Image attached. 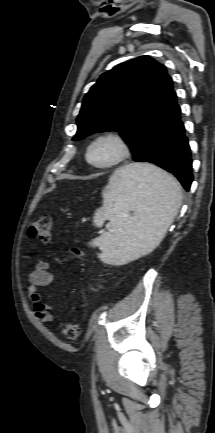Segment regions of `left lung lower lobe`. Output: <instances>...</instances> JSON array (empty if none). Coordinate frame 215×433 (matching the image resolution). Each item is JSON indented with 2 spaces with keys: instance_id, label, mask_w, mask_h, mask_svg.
Wrapping results in <instances>:
<instances>
[{
  "instance_id": "0a47b994",
  "label": "left lung lower lobe",
  "mask_w": 215,
  "mask_h": 433,
  "mask_svg": "<svg viewBox=\"0 0 215 433\" xmlns=\"http://www.w3.org/2000/svg\"><path fill=\"white\" fill-rule=\"evenodd\" d=\"M180 113L181 109L176 104L172 121L163 135L153 163L172 173L189 191L193 181L191 149Z\"/></svg>"
}]
</instances>
